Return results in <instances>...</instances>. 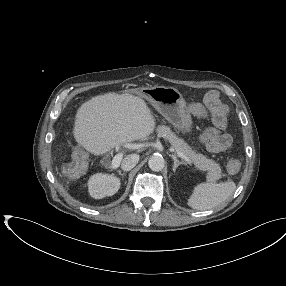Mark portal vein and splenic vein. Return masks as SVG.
Masks as SVG:
<instances>
[{"instance_id":"obj_1","label":"portal vein and splenic vein","mask_w":286,"mask_h":286,"mask_svg":"<svg viewBox=\"0 0 286 286\" xmlns=\"http://www.w3.org/2000/svg\"><path fill=\"white\" fill-rule=\"evenodd\" d=\"M129 148H134V146H130ZM177 155L184 159L185 161H187L188 163H191L190 159L181 151H177ZM123 154L122 153H118L114 156L113 160H112V167L113 168H117L120 165V162L122 160Z\"/></svg>"}]
</instances>
